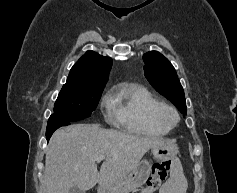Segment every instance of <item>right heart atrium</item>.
<instances>
[{
    "label": "right heart atrium",
    "mask_w": 237,
    "mask_h": 193,
    "mask_svg": "<svg viewBox=\"0 0 237 193\" xmlns=\"http://www.w3.org/2000/svg\"><path fill=\"white\" fill-rule=\"evenodd\" d=\"M103 106L109 110V113L111 112V106L109 102V97H106L103 101Z\"/></svg>",
    "instance_id": "1"
}]
</instances>
